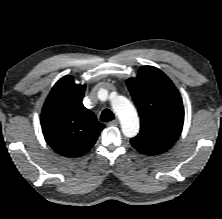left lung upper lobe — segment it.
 <instances>
[{
  "label": "left lung upper lobe",
  "instance_id": "5c2ea615",
  "mask_svg": "<svg viewBox=\"0 0 222 219\" xmlns=\"http://www.w3.org/2000/svg\"><path fill=\"white\" fill-rule=\"evenodd\" d=\"M138 108L140 133L130 142L161 152L178 139L184 121L181 96L172 81L158 68L142 66L137 77L126 81Z\"/></svg>",
  "mask_w": 222,
  "mask_h": 219
}]
</instances>
